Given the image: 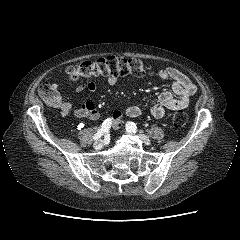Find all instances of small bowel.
Instances as JSON below:
<instances>
[{"label": "small bowel", "instance_id": "small-bowel-1", "mask_svg": "<svg viewBox=\"0 0 240 240\" xmlns=\"http://www.w3.org/2000/svg\"><path fill=\"white\" fill-rule=\"evenodd\" d=\"M158 76L162 80L171 81V91L162 92L157 100L149 104L151 114L155 118H162L166 110L184 109L189 105L191 97L196 92L195 84L181 71L176 68L168 67L158 72ZM119 82V78L109 76L105 79L107 86H114ZM52 86L57 90V84L53 83ZM77 92L87 90L90 93H95L97 90L96 83L93 81H85L76 86ZM60 96V95H59ZM61 98V96H60ZM62 116L66 117L73 113L79 118H88L91 120L99 121L101 119L100 113L92 101H86L81 106L73 109L68 102H62L59 106ZM141 114V108L137 105L129 106L125 112L115 111L112 114L114 120V128H119L123 117L135 118Z\"/></svg>", "mask_w": 240, "mask_h": 240}]
</instances>
